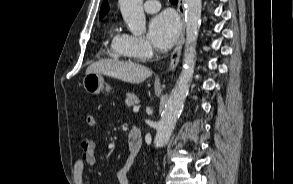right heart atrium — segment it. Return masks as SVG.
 Returning <instances> with one entry per match:
<instances>
[{
    "label": "right heart atrium",
    "instance_id": "right-heart-atrium-1",
    "mask_svg": "<svg viewBox=\"0 0 293 184\" xmlns=\"http://www.w3.org/2000/svg\"><path fill=\"white\" fill-rule=\"evenodd\" d=\"M124 40L130 51L136 58H146L152 53V47L149 42L140 36L124 34Z\"/></svg>",
    "mask_w": 293,
    "mask_h": 184
}]
</instances>
